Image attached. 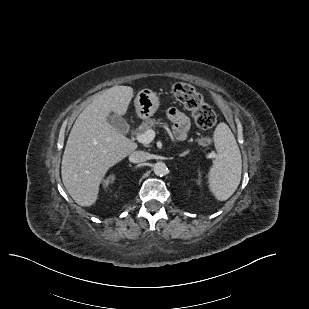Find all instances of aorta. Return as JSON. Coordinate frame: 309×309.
<instances>
[{"mask_svg":"<svg viewBox=\"0 0 309 309\" xmlns=\"http://www.w3.org/2000/svg\"><path fill=\"white\" fill-rule=\"evenodd\" d=\"M153 170L157 176H164L167 174L168 168L165 163L157 162L154 164Z\"/></svg>","mask_w":309,"mask_h":309,"instance_id":"obj_1","label":"aorta"}]
</instances>
